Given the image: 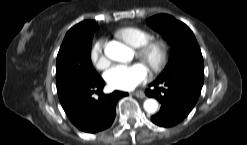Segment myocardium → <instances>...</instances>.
<instances>
[{
	"mask_svg": "<svg viewBox=\"0 0 247 145\" xmlns=\"http://www.w3.org/2000/svg\"><path fill=\"white\" fill-rule=\"evenodd\" d=\"M137 56L153 72H159L168 58V45L161 40L149 41L139 48Z\"/></svg>",
	"mask_w": 247,
	"mask_h": 145,
	"instance_id": "myocardium-1",
	"label": "myocardium"
}]
</instances>
